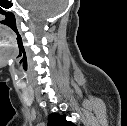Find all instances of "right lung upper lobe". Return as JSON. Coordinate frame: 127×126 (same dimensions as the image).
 <instances>
[{
	"mask_svg": "<svg viewBox=\"0 0 127 126\" xmlns=\"http://www.w3.org/2000/svg\"><path fill=\"white\" fill-rule=\"evenodd\" d=\"M47 126H74L71 122L65 119L64 115L52 113L49 115Z\"/></svg>",
	"mask_w": 127,
	"mask_h": 126,
	"instance_id": "cb5924a9",
	"label": "right lung upper lobe"
}]
</instances>
